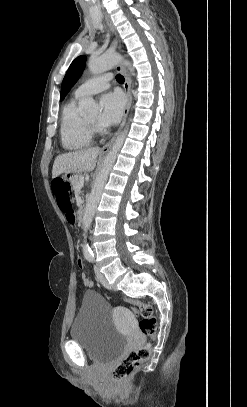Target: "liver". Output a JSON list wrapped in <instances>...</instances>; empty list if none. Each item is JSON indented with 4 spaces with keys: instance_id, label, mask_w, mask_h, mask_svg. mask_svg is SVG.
Returning <instances> with one entry per match:
<instances>
[{
    "instance_id": "1",
    "label": "liver",
    "mask_w": 247,
    "mask_h": 407,
    "mask_svg": "<svg viewBox=\"0 0 247 407\" xmlns=\"http://www.w3.org/2000/svg\"><path fill=\"white\" fill-rule=\"evenodd\" d=\"M99 153L100 148L94 147L59 155L53 164L52 178L62 173L80 174L94 170Z\"/></svg>"
}]
</instances>
